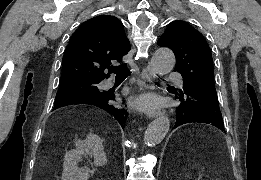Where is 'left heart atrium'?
<instances>
[{"label":"left heart atrium","mask_w":261,"mask_h":180,"mask_svg":"<svg viewBox=\"0 0 261 180\" xmlns=\"http://www.w3.org/2000/svg\"><path fill=\"white\" fill-rule=\"evenodd\" d=\"M135 105L143 110H150L158 105V99L153 95H144L137 99Z\"/></svg>","instance_id":"39dd6f15"}]
</instances>
